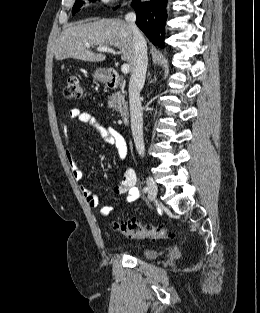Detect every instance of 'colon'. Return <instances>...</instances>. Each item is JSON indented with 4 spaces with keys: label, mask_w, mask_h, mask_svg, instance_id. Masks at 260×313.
<instances>
[{
    "label": "colon",
    "mask_w": 260,
    "mask_h": 313,
    "mask_svg": "<svg viewBox=\"0 0 260 313\" xmlns=\"http://www.w3.org/2000/svg\"><path fill=\"white\" fill-rule=\"evenodd\" d=\"M83 93L81 78L78 76L68 78L63 90L64 97L67 99H80ZM112 227L131 238L160 240L169 237L168 231L162 225H142L138 222L113 221Z\"/></svg>",
    "instance_id": "obj_1"
}]
</instances>
